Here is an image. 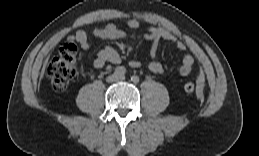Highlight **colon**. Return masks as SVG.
<instances>
[{
    "label": "colon",
    "mask_w": 259,
    "mask_h": 156,
    "mask_svg": "<svg viewBox=\"0 0 259 156\" xmlns=\"http://www.w3.org/2000/svg\"><path fill=\"white\" fill-rule=\"evenodd\" d=\"M77 46L74 43L65 44L59 53L53 57L46 69L47 76L56 90H65L68 84L76 78L78 74ZM184 90L192 93L195 84L188 81L184 84Z\"/></svg>",
    "instance_id": "5ec220e1"
}]
</instances>
